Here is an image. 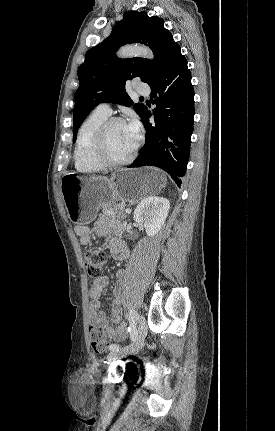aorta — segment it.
Returning <instances> with one entry per match:
<instances>
[{
    "instance_id": "obj_1",
    "label": "aorta",
    "mask_w": 275,
    "mask_h": 431,
    "mask_svg": "<svg viewBox=\"0 0 275 431\" xmlns=\"http://www.w3.org/2000/svg\"><path fill=\"white\" fill-rule=\"evenodd\" d=\"M118 56L120 58H130L134 56H139L143 58L152 59V51L145 46H126L119 50Z\"/></svg>"
}]
</instances>
